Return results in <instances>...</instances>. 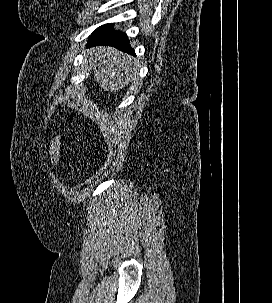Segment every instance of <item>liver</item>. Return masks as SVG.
<instances>
[{
    "mask_svg": "<svg viewBox=\"0 0 272 303\" xmlns=\"http://www.w3.org/2000/svg\"><path fill=\"white\" fill-rule=\"evenodd\" d=\"M88 55L94 79L101 89L116 93L136 76L131 68L132 58L112 47H95L89 50Z\"/></svg>",
    "mask_w": 272,
    "mask_h": 303,
    "instance_id": "1",
    "label": "liver"
}]
</instances>
